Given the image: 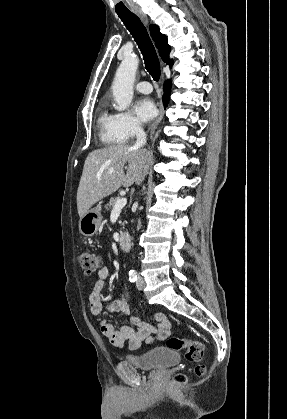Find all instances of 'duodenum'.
Wrapping results in <instances>:
<instances>
[{
	"label": "duodenum",
	"mask_w": 287,
	"mask_h": 419,
	"mask_svg": "<svg viewBox=\"0 0 287 419\" xmlns=\"http://www.w3.org/2000/svg\"><path fill=\"white\" fill-rule=\"evenodd\" d=\"M118 244L123 251L131 249V238L127 233H121L118 236Z\"/></svg>",
	"instance_id": "1"
}]
</instances>
